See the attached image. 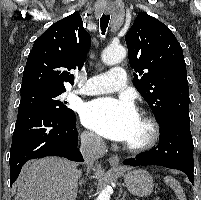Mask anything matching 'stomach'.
I'll use <instances>...</instances> for the list:
<instances>
[{
  "mask_svg": "<svg viewBox=\"0 0 201 200\" xmlns=\"http://www.w3.org/2000/svg\"><path fill=\"white\" fill-rule=\"evenodd\" d=\"M127 189L134 195L147 196L153 190V180L144 169H136L122 173Z\"/></svg>",
  "mask_w": 201,
  "mask_h": 200,
  "instance_id": "0dacf381",
  "label": "stomach"
}]
</instances>
